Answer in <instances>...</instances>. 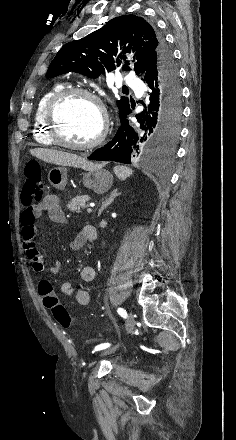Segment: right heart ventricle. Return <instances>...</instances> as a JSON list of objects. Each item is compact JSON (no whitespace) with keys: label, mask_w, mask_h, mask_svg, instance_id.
I'll return each mask as SVG.
<instances>
[{"label":"right heart ventricle","mask_w":236,"mask_h":440,"mask_svg":"<svg viewBox=\"0 0 236 440\" xmlns=\"http://www.w3.org/2000/svg\"><path fill=\"white\" fill-rule=\"evenodd\" d=\"M63 88V84L56 83L47 90L37 102L33 116V138L44 146H55V142L49 136L45 121L44 112L49 99L59 90Z\"/></svg>","instance_id":"obj_1"}]
</instances>
